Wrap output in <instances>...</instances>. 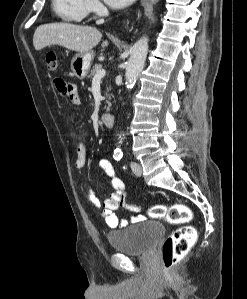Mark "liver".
Returning <instances> with one entry per match:
<instances>
[{"mask_svg":"<svg viewBox=\"0 0 247 299\" xmlns=\"http://www.w3.org/2000/svg\"><path fill=\"white\" fill-rule=\"evenodd\" d=\"M102 33L95 27L70 23H49L40 25L33 36L34 48L39 51L51 45H60L69 50L85 53L101 40ZM108 41L102 43L106 47Z\"/></svg>","mask_w":247,"mask_h":299,"instance_id":"obj_1","label":"liver"}]
</instances>
